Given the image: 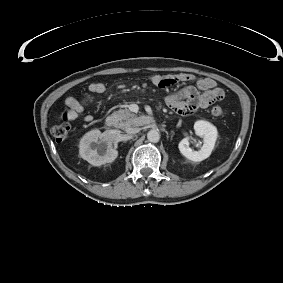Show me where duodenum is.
I'll use <instances>...</instances> for the list:
<instances>
[{
  "mask_svg": "<svg viewBox=\"0 0 283 283\" xmlns=\"http://www.w3.org/2000/svg\"><path fill=\"white\" fill-rule=\"evenodd\" d=\"M105 124L107 127L113 128L116 125V119L113 116L109 115L106 117Z\"/></svg>",
  "mask_w": 283,
  "mask_h": 283,
  "instance_id": "1",
  "label": "duodenum"
}]
</instances>
